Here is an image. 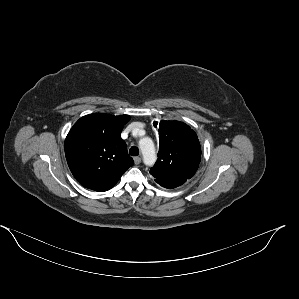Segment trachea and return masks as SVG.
I'll list each match as a JSON object with an SVG mask.
<instances>
[{"instance_id": "obj_1", "label": "trachea", "mask_w": 299, "mask_h": 299, "mask_svg": "<svg viewBox=\"0 0 299 299\" xmlns=\"http://www.w3.org/2000/svg\"><path fill=\"white\" fill-rule=\"evenodd\" d=\"M129 154L131 156H137L139 154V149L137 147L133 146L129 149Z\"/></svg>"}]
</instances>
